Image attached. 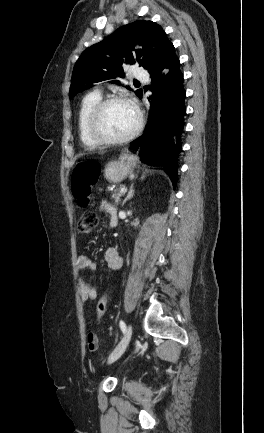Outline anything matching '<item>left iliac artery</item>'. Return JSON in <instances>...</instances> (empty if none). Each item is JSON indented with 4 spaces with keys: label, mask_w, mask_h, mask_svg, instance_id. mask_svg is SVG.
Returning <instances> with one entry per match:
<instances>
[{
    "label": "left iliac artery",
    "mask_w": 264,
    "mask_h": 433,
    "mask_svg": "<svg viewBox=\"0 0 264 433\" xmlns=\"http://www.w3.org/2000/svg\"><path fill=\"white\" fill-rule=\"evenodd\" d=\"M119 324H120V328H121L122 332L124 333L125 330H126V325H125V323L121 320Z\"/></svg>",
    "instance_id": "obj_1"
}]
</instances>
